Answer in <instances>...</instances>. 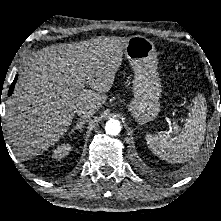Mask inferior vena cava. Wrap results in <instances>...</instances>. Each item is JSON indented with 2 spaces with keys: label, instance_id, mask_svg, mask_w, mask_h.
Listing matches in <instances>:
<instances>
[{
  "label": "inferior vena cava",
  "instance_id": "inferior-vena-cava-1",
  "mask_svg": "<svg viewBox=\"0 0 221 221\" xmlns=\"http://www.w3.org/2000/svg\"><path fill=\"white\" fill-rule=\"evenodd\" d=\"M76 113L83 119L91 118L95 114V107L92 105H82L76 109Z\"/></svg>",
  "mask_w": 221,
  "mask_h": 221
}]
</instances>
